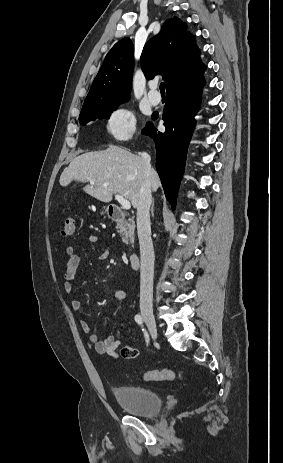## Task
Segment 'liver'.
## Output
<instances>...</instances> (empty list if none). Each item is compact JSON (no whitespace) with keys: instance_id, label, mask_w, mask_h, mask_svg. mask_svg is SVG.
I'll use <instances>...</instances> for the list:
<instances>
[{"instance_id":"6515ba94","label":"liver","mask_w":283,"mask_h":463,"mask_svg":"<svg viewBox=\"0 0 283 463\" xmlns=\"http://www.w3.org/2000/svg\"><path fill=\"white\" fill-rule=\"evenodd\" d=\"M83 191L97 200L109 203L113 194H120L137 208L142 185L148 181L152 191L160 186L154 169L148 170L143 159L123 148L110 145L106 150L89 152L75 157L60 176V185L72 181L86 183Z\"/></svg>"}]
</instances>
